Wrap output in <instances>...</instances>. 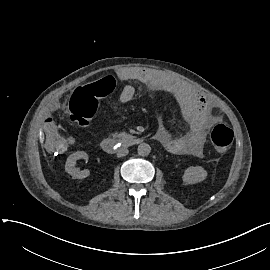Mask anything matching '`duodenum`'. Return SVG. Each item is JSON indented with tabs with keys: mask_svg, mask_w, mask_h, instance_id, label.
Returning <instances> with one entry per match:
<instances>
[{
	"mask_svg": "<svg viewBox=\"0 0 270 270\" xmlns=\"http://www.w3.org/2000/svg\"><path fill=\"white\" fill-rule=\"evenodd\" d=\"M142 140L131 135H123L118 137H108L101 142L102 149L107 153H113L121 148L138 145Z\"/></svg>",
	"mask_w": 270,
	"mask_h": 270,
	"instance_id": "obj_1",
	"label": "duodenum"
}]
</instances>
